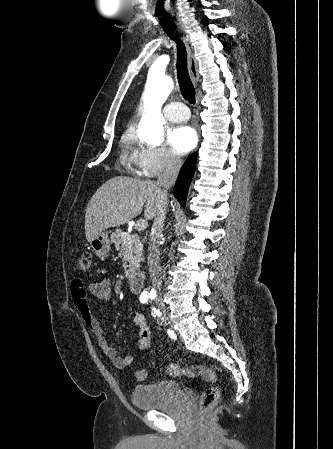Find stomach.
I'll list each match as a JSON object with an SVG mask.
<instances>
[{"label":"stomach","instance_id":"0dacf381","mask_svg":"<svg viewBox=\"0 0 333 449\" xmlns=\"http://www.w3.org/2000/svg\"><path fill=\"white\" fill-rule=\"evenodd\" d=\"M111 241L107 232H100L90 241V246L97 256H104L110 250Z\"/></svg>","mask_w":333,"mask_h":449}]
</instances>
